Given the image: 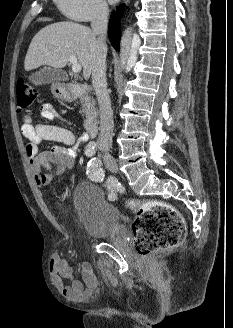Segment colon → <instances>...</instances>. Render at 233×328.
Listing matches in <instances>:
<instances>
[{"label": "colon", "instance_id": "5ec220e1", "mask_svg": "<svg viewBox=\"0 0 233 328\" xmlns=\"http://www.w3.org/2000/svg\"><path fill=\"white\" fill-rule=\"evenodd\" d=\"M38 93L23 79L16 83L17 106L28 111L35 103ZM136 214L133 224V243L141 257H147L177 246L186 235V223L181 213L161 201H137L131 203Z\"/></svg>", "mask_w": 233, "mask_h": 328}]
</instances>
